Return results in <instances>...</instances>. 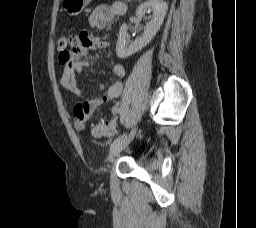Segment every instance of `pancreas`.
<instances>
[{
    "mask_svg": "<svg viewBox=\"0 0 256 228\" xmlns=\"http://www.w3.org/2000/svg\"><path fill=\"white\" fill-rule=\"evenodd\" d=\"M127 2H131L132 0H126Z\"/></svg>",
    "mask_w": 256,
    "mask_h": 228,
    "instance_id": "cf45deb5",
    "label": "pancreas"
}]
</instances>
